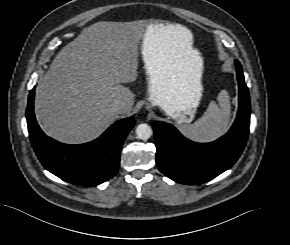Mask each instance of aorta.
<instances>
[{
	"instance_id": "obj_1",
	"label": "aorta",
	"mask_w": 290,
	"mask_h": 245,
	"mask_svg": "<svg viewBox=\"0 0 290 245\" xmlns=\"http://www.w3.org/2000/svg\"><path fill=\"white\" fill-rule=\"evenodd\" d=\"M153 134L151 127L148 124H139L136 128V135L141 140L149 139Z\"/></svg>"
}]
</instances>
